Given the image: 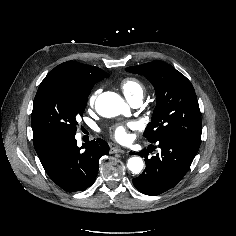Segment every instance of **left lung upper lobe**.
I'll use <instances>...</instances> for the list:
<instances>
[{
	"instance_id": "1",
	"label": "left lung upper lobe",
	"mask_w": 236,
	"mask_h": 236,
	"mask_svg": "<svg viewBox=\"0 0 236 236\" xmlns=\"http://www.w3.org/2000/svg\"><path fill=\"white\" fill-rule=\"evenodd\" d=\"M144 74L156 92V107L144 136L155 143L162 138L181 137L201 141L202 122L198 100L191 82L163 61L126 69Z\"/></svg>"
}]
</instances>
